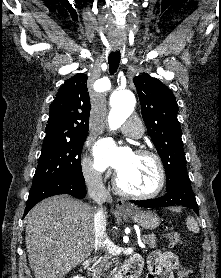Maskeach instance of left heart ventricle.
<instances>
[{
  "label": "left heart ventricle",
  "mask_w": 221,
  "mask_h": 278,
  "mask_svg": "<svg viewBox=\"0 0 221 278\" xmlns=\"http://www.w3.org/2000/svg\"><path fill=\"white\" fill-rule=\"evenodd\" d=\"M118 175L123 188L137 193L153 191L159 179L155 161L135 153L131 154L125 165L118 171Z\"/></svg>",
  "instance_id": "b2bd125f"
}]
</instances>
